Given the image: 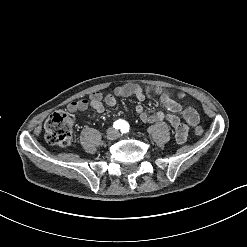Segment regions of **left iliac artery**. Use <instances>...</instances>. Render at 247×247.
Instances as JSON below:
<instances>
[{
  "mask_svg": "<svg viewBox=\"0 0 247 247\" xmlns=\"http://www.w3.org/2000/svg\"><path fill=\"white\" fill-rule=\"evenodd\" d=\"M129 124L126 121L122 122V126H121V132L122 133H127L129 132Z\"/></svg>",
  "mask_w": 247,
  "mask_h": 247,
  "instance_id": "1",
  "label": "left iliac artery"
}]
</instances>
